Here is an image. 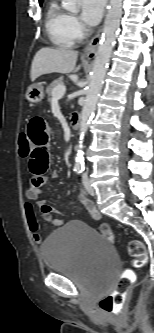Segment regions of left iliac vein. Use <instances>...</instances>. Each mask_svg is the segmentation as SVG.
Segmentation results:
<instances>
[{"label":"left iliac vein","mask_w":154,"mask_h":333,"mask_svg":"<svg viewBox=\"0 0 154 333\" xmlns=\"http://www.w3.org/2000/svg\"><path fill=\"white\" fill-rule=\"evenodd\" d=\"M83 183H84V186L86 188V191L90 195L94 196L96 194V192H95L94 188L91 186V184H90L89 179H88L87 176H83Z\"/></svg>","instance_id":"obj_1"}]
</instances>
